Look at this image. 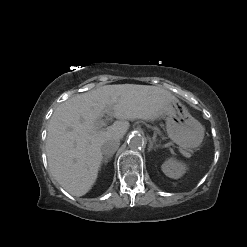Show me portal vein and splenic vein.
<instances>
[{
  "label": "portal vein and splenic vein",
  "mask_w": 247,
  "mask_h": 247,
  "mask_svg": "<svg viewBox=\"0 0 247 247\" xmlns=\"http://www.w3.org/2000/svg\"><path fill=\"white\" fill-rule=\"evenodd\" d=\"M105 125V123L103 122V121H99L98 122V127L100 128V127H102V126H104Z\"/></svg>",
  "instance_id": "18ae733b"
}]
</instances>
